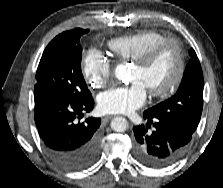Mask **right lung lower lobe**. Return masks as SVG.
Here are the masks:
<instances>
[{
  "label": "right lung lower lobe",
  "instance_id": "98d812e1",
  "mask_svg": "<svg viewBox=\"0 0 223 188\" xmlns=\"http://www.w3.org/2000/svg\"><path fill=\"white\" fill-rule=\"evenodd\" d=\"M35 123L45 149L61 168L79 171L91 166L100 153V118L77 122L94 107L93 98L77 101L65 96L35 92Z\"/></svg>",
  "mask_w": 223,
  "mask_h": 188
}]
</instances>
